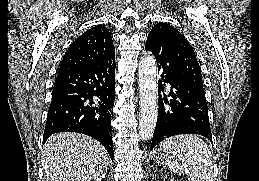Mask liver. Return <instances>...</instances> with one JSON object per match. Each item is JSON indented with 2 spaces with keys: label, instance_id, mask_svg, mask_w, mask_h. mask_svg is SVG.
I'll list each match as a JSON object with an SVG mask.
<instances>
[{
  "label": "liver",
  "instance_id": "obj_1",
  "mask_svg": "<svg viewBox=\"0 0 259 181\" xmlns=\"http://www.w3.org/2000/svg\"><path fill=\"white\" fill-rule=\"evenodd\" d=\"M44 181H102L109 156L95 139L79 133L52 135L42 149Z\"/></svg>",
  "mask_w": 259,
  "mask_h": 181
}]
</instances>
